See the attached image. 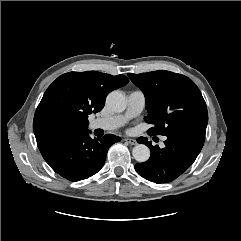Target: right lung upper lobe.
<instances>
[{
	"label": "right lung upper lobe",
	"instance_id": "1",
	"mask_svg": "<svg viewBox=\"0 0 241 241\" xmlns=\"http://www.w3.org/2000/svg\"><path fill=\"white\" fill-rule=\"evenodd\" d=\"M129 82L124 75L69 72L48 87L33 120L36 140L50 134L87 130L88 115L104 107L106 96Z\"/></svg>",
	"mask_w": 241,
	"mask_h": 241
}]
</instances>
